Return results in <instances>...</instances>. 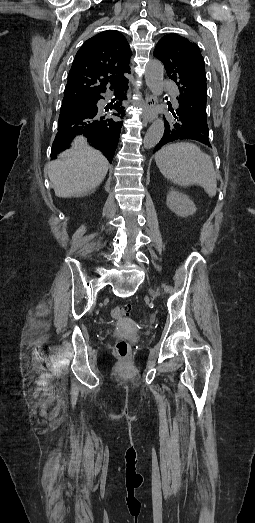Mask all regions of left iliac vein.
Instances as JSON below:
<instances>
[{"label":"left iliac vein","mask_w":255,"mask_h":523,"mask_svg":"<svg viewBox=\"0 0 255 523\" xmlns=\"http://www.w3.org/2000/svg\"><path fill=\"white\" fill-rule=\"evenodd\" d=\"M149 293L150 295L153 297V298H156V293L152 290H149Z\"/></svg>","instance_id":"1"}]
</instances>
